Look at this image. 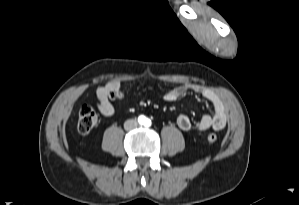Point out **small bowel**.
Returning a JSON list of instances; mask_svg holds the SVG:
<instances>
[{"mask_svg": "<svg viewBox=\"0 0 299 205\" xmlns=\"http://www.w3.org/2000/svg\"><path fill=\"white\" fill-rule=\"evenodd\" d=\"M121 86V81L111 80L97 89V107L104 116H112L114 114V106L109 99V95L120 91ZM189 92L200 94L213 107L212 114H206L198 121L196 125L197 130L199 132H204L210 128L218 131L222 130L226 126L227 112L221 97L213 90L200 84L188 83L170 89L165 93L164 99L168 102H173L183 98ZM176 123L183 131H187L192 127L191 119L185 114L179 115Z\"/></svg>", "mask_w": 299, "mask_h": 205, "instance_id": "c3829d8e", "label": "small bowel"}]
</instances>
